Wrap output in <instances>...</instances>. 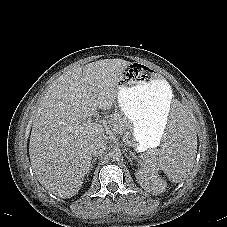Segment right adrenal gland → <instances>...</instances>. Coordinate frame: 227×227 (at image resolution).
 <instances>
[{"mask_svg": "<svg viewBox=\"0 0 227 227\" xmlns=\"http://www.w3.org/2000/svg\"><path fill=\"white\" fill-rule=\"evenodd\" d=\"M97 159H99V158L95 157V158L92 159L91 165H90V170L93 169V165L95 164V162L97 161Z\"/></svg>", "mask_w": 227, "mask_h": 227, "instance_id": "2a0ac1e0", "label": "right adrenal gland"}]
</instances>
